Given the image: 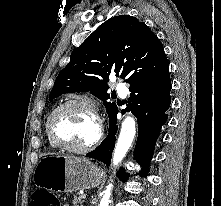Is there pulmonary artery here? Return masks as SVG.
<instances>
[{
	"label": "pulmonary artery",
	"instance_id": "pulmonary-artery-1",
	"mask_svg": "<svg viewBox=\"0 0 221 206\" xmlns=\"http://www.w3.org/2000/svg\"><path fill=\"white\" fill-rule=\"evenodd\" d=\"M115 86L120 96L124 97L127 94V90L124 83H122L121 81H117L115 83Z\"/></svg>",
	"mask_w": 221,
	"mask_h": 206
}]
</instances>
